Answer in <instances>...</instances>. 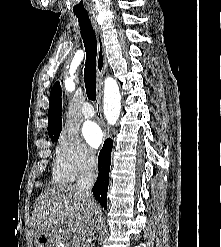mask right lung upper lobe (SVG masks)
<instances>
[{
  "label": "right lung upper lobe",
  "instance_id": "cb5924a9",
  "mask_svg": "<svg viewBox=\"0 0 221 247\" xmlns=\"http://www.w3.org/2000/svg\"><path fill=\"white\" fill-rule=\"evenodd\" d=\"M61 109V87L60 83L56 82L50 92L48 111V134L50 138L59 136L62 130Z\"/></svg>",
  "mask_w": 221,
  "mask_h": 247
}]
</instances>
